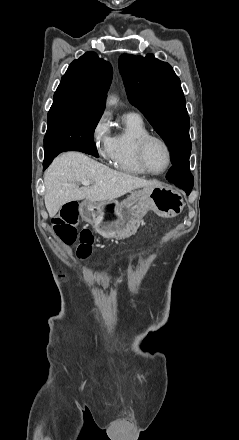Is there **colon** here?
I'll use <instances>...</instances> for the list:
<instances>
[{"instance_id": "5ec220e1", "label": "colon", "mask_w": 239, "mask_h": 440, "mask_svg": "<svg viewBox=\"0 0 239 440\" xmlns=\"http://www.w3.org/2000/svg\"><path fill=\"white\" fill-rule=\"evenodd\" d=\"M78 223V206L76 203H68L64 205L59 212L51 220L54 233L65 244H73L78 241L77 257L86 259L92 253L94 237L88 228L77 229Z\"/></svg>"}]
</instances>
